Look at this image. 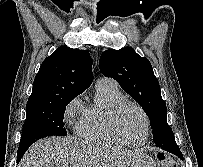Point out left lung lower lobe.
Wrapping results in <instances>:
<instances>
[{
  "instance_id": "1",
  "label": "left lung lower lobe",
  "mask_w": 203,
  "mask_h": 167,
  "mask_svg": "<svg viewBox=\"0 0 203 167\" xmlns=\"http://www.w3.org/2000/svg\"><path fill=\"white\" fill-rule=\"evenodd\" d=\"M155 144L157 147H160L161 149H163L165 151H168L177 156H182L181 151L175 142V138L174 139L173 138H164L163 140H160Z\"/></svg>"
}]
</instances>
